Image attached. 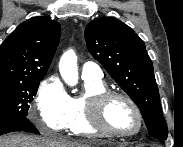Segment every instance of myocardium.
Here are the masks:
<instances>
[{
    "label": "myocardium",
    "mask_w": 183,
    "mask_h": 147,
    "mask_svg": "<svg viewBox=\"0 0 183 147\" xmlns=\"http://www.w3.org/2000/svg\"><path fill=\"white\" fill-rule=\"evenodd\" d=\"M114 98H122L134 110L137 119H138V129L132 133H121L114 129H112L106 118H105V108L107 103ZM87 109H88V120L93 128L101 132L102 134H106L113 137L118 138H134L141 134L144 129V118L139 106L136 102L127 94L119 91L105 90L100 93L92 95L87 101Z\"/></svg>",
    "instance_id": "myocardium-1"
}]
</instances>
